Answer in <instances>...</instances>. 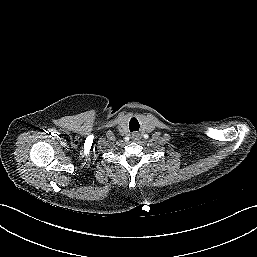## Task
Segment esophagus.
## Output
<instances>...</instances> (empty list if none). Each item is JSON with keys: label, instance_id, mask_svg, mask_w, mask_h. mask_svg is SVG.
Returning a JSON list of instances; mask_svg holds the SVG:
<instances>
[{"label": "esophagus", "instance_id": "esophagus-1", "mask_svg": "<svg viewBox=\"0 0 257 257\" xmlns=\"http://www.w3.org/2000/svg\"><path fill=\"white\" fill-rule=\"evenodd\" d=\"M139 138H140V136H139L138 133H133L132 134V140L137 141V140H139Z\"/></svg>", "mask_w": 257, "mask_h": 257}]
</instances>
